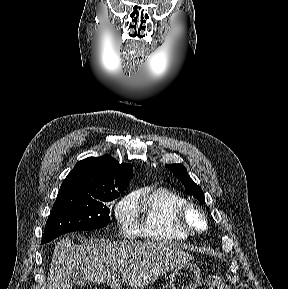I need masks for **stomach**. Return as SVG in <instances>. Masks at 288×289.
<instances>
[{
	"instance_id": "1",
	"label": "stomach",
	"mask_w": 288,
	"mask_h": 289,
	"mask_svg": "<svg viewBox=\"0 0 288 289\" xmlns=\"http://www.w3.org/2000/svg\"><path fill=\"white\" fill-rule=\"evenodd\" d=\"M202 279L200 268L187 263L175 268L170 276L171 289H197Z\"/></svg>"
}]
</instances>
